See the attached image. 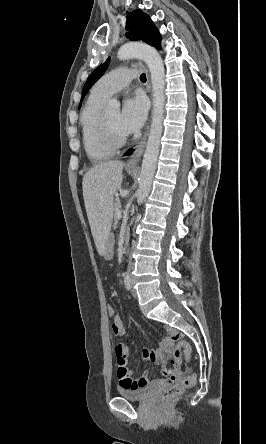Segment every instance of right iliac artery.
I'll use <instances>...</instances> for the list:
<instances>
[{
	"label": "right iliac artery",
	"mask_w": 266,
	"mask_h": 444,
	"mask_svg": "<svg viewBox=\"0 0 266 444\" xmlns=\"http://www.w3.org/2000/svg\"><path fill=\"white\" fill-rule=\"evenodd\" d=\"M124 284H125V287L128 290L131 289V279H130V276L128 274H124Z\"/></svg>",
	"instance_id": "1"
}]
</instances>
